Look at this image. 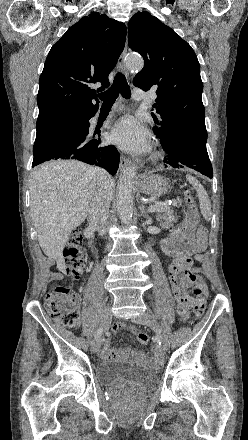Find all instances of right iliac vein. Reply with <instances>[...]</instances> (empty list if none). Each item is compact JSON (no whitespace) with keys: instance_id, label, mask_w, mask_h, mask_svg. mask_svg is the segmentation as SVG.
I'll use <instances>...</instances> for the list:
<instances>
[{"instance_id":"63e3f726","label":"right iliac vein","mask_w":248,"mask_h":440,"mask_svg":"<svg viewBox=\"0 0 248 440\" xmlns=\"http://www.w3.org/2000/svg\"><path fill=\"white\" fill-rule=\"evenodd\" d=\"M111 323V310H110V306L106 305L103 310H102V314H101V329L102 331H105L109 325ZM101 347V336L96 338L92 343H91V351L93 353H96L99 351Z\"/></svg>"}]
</instances>
